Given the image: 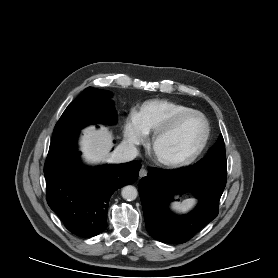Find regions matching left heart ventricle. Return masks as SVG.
Wrapping results in <instances>:
<instances>
[{"label": "left heart ventricle", "mask_w": 278, "mask_h": 278, "mask_svg": "<svg viewBox=\"0 0 278 278\" xmlns=\"http://www.w3.org/2000/svg\"><path fill=\"white\" fill-rule=\"evenodd\" d=\"M204 133L205 124L201 117H187L173 133L159 143L158 150L166 157L186 156L197 148Z\"/></svg>", "instance_id": "b2bd125f"}]
</instances>
